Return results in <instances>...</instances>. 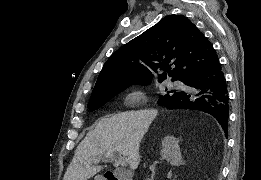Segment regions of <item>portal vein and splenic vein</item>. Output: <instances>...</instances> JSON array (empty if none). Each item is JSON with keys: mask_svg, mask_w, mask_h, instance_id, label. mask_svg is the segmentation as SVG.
I'll return each instance as SVG.
<instances>
[{"mask_svg": "<svg viewBox=\"0 0 261 180\" xmlns=\"http://www.w3.org/2000/svg\"><path fill=\"white\" fill-rule=\"evenodd\" d=\"M117 154H120V152H117ZM120 164H125L127 162L126 158H119Z\"/></svg>", "mask_w": 261, "mask_h": 180, "instance_id": "portal-vein-and-splenic-vein-1", "label": "portal vein and splenic vein"}]
</instances>
